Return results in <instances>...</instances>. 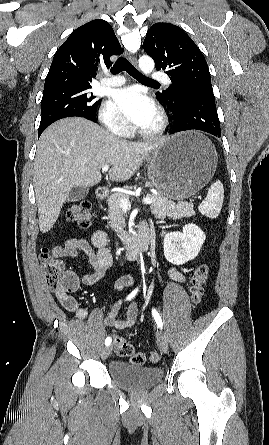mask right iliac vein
Instances as JSON below:
<instances>
[{
    "mask_svg": "<svg viewBox=\"0 0 269 445\" xmlns=\"http://www.w3.org/2000/svg\"><path fill=\"white\" fill-rule=\"evenodd\" d=\"M111 350H112V347H111V346H107V347H105V348L103 349V351H102V354H101L102 358H103V359L108 358L109 355L111 354Z\"/></svg>",
    "mask_w": 269,
    "mask_h": 445,
    "instance_id": "63e3f726",
    "label": "right iliac vein"
}]
</instances>
